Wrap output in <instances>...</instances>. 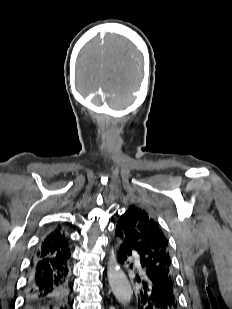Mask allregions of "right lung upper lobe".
I'll return each mask as SVG.
<instances>
[{
  "label": "right lung upper lobe",
  "instance_id": "right-lung-upper-lobe-1",
  "mask_svg": "<svg viewBox=\"0 0 232 309\" xmlns=\"http://www.w3.org/2000/svg\"><path fill=\"white\" fill-rule=\"evenodd\" d=\"M70 253L69 242L59 225L44 238L40 248L35 254L36 259L45 257H67Z\"/></svg>",
  "mask_w": 232,
  "mask_h": 309
}]
</instances>
